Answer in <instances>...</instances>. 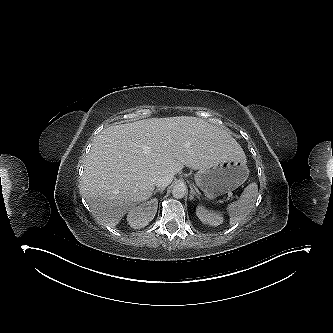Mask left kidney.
Here are the masks:
<instances>
[{
  "label": "left kidney",
  "instance_id": "1",
  "mask_svg": "<svg viewBox=\"0 0 333 333\" xmlns=\"http://www.w3.org/2000/svg\"><path fill=\"white\" fill-rule=\"evenodd\" d=\"M196 215L202 223L211 226H218L223 223V216L220 213L209 211L202 205L197 206Z\"/></svg>",
  "mask_w": 333,
  "mask_h": 333
}]
</instances>
